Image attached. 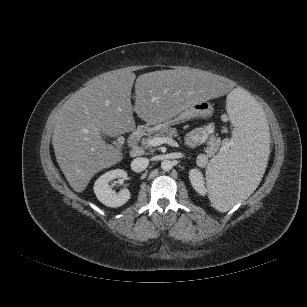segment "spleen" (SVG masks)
<instances>
[{
    "instance_id": "3e777b00",
    "label": "spleen",
    "mask_w": 307,
    "mask_h": 307,
    "mask_svg": "<svg viewBox=\"0 0 307 307\" xmlns=\"http://www.w3.org/2000/svg\"><path fill=\"white\" fill-rule=\"evenodd\" d=\"M226 108L238 131L230 152L212 159L206 169L209 199L219 212H227L256 189L273 140L266 117L253 97L231 92Z\"/></svg>"
}]
</instances>
